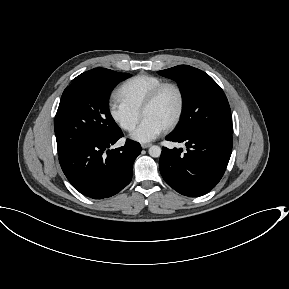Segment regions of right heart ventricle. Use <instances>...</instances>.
I'll return each mask as SVG.
<instances>
[{
  "label": "right heart ventricle",
  "instance_id": "obj_1",
  "mask_svg": "<svg viewBox=\"0 0 289 289\" xmlns=\"http://www.w3.org/2000/svg\"><path fill=\"white\" fill-rule=\"evenodd\" d=\"M164 80L150 74H138L126 80L117 90L118 98L131 108L141 112V107L150 92Z\"/></svg>",
  "mask_w": 289,
  "mask_h": 289
}]
</instances>
